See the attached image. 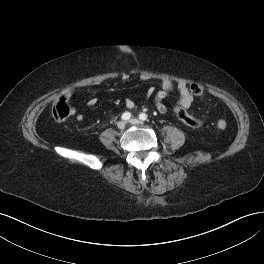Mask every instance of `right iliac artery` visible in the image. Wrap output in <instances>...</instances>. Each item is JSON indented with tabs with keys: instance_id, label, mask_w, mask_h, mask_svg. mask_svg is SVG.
Returning <instances> with one entry per match:
<instances>
[{
	"instance_id": "82829eb1",
	"label": "right iliac artery",
	"mask_w": 264,
	"mask_h": 264,
	"mask_svg": "<svg viewBox=\"0 0 264 264\" xmlns=\"http://www.w3.org/2000/svg\"><path fill=\"white\" fill-rule=\"evenodd\" d=\"M121 118H122V120L127 121V120H129L131 118V113L125 112V113L122 114Z\"/></svg>"
}]
</instances>
